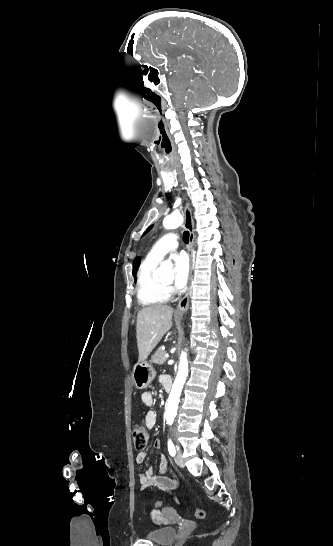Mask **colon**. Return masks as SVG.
Here are the masks:
<instances>
[{"label":"colon","mask_w":333,"mask_h":546,"mask_svg":"<svg viewBox=\"0 0 333 546\" xmlns=\"http://www.w3.org/2000/svg\"><path fill=\"white\" fill-rule=\"evenodd\" d=\"M132 438H133L134 447L138 450H142L147 445L149 435L146 428L143 425L136 424L132 430ZM161 504H162L161 502H157L155 504V507H158ZM194 515L198 519H204L206 516V513L203 509H196L194 511Z\"/></svg>","instance_id":"obj_1"}]
</instances>
